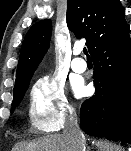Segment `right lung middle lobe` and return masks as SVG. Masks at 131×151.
Segmentation results:
<instances>
[{
	"mask_svg": "<svg viewBox=\"0 0 131 151\" xmlns=\"http://www.w3.org/2000/svg\"><path fill=\"white\" fill-rule=\"evenodd\" d=\"M28 86L29 83L13 91L14 97H13L11 112H13L15 107H17L20 104L26 90L28 89Z\"/></svg>",
	"mask_w": 131,
	"mask_h": 151,
	"instance_id": "right-lung-middle-lobe-1",
	"label": "right lung middle lobe"
}]
</instances>
